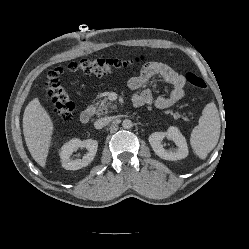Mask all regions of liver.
<instances>
[{
    "mask_svg": "<svg viewBox=\"0 0 249 249\" xmlns=\"http://www.w3.org/2000/svg\"><path fill=\"white\" fill-rule=\"evenodd\" d=\"M53 122L38 98L31 100L23 115V134L33 159L45 167L53 134Z\"/></svg>",
    "mask_w": 249,
    "mask_h": 249,
    "instance_id": "6515ba94",
    "label": "liver"
}]
</instances>
